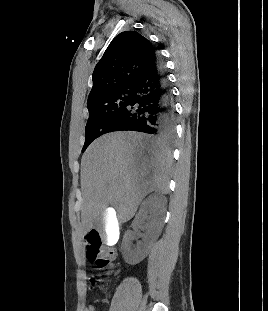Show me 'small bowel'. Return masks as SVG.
Returning <instances> with one entry per match:
<instances>
[{"mask_svg":"<svg viewBox=\"0 0 268 311\" xmlns=\"http://www.w3.org/2000/svg\"><path fill=\"white\" fill-rule=\"evenodd\" d=\"M84 311H94V307L92 305H87L85 306Z\"/></svg>","mask_w":268,"mask_h":311,"instance_id":"obj_1","label":"small bowel"}]
</instances>
